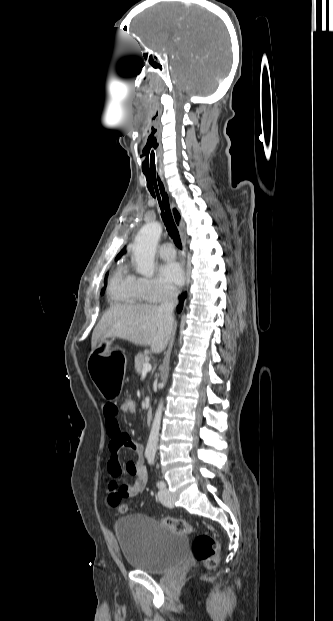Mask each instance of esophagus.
<instances>
[{
    "mask_svg": "<svg viewBox=\"0 0 333 621\" xmlns=\"http://www.w3.org/2000/svg\"><path fill=\"white\" fill-rule=\"evenodd\" d=\"M171 208H172V212H173L175 223H176V225H177V227H178V229L180 231L182 239L184 240V232H183L184 224L182 222L180 213L177 210V208H176V206H175V204L173 202H171Z\"/></svg>",
    "mask_w": 333,
    "mask_h": 621,
    "instance_id": "34e87169",
    "label": "esophagus"
}]
</instances>
